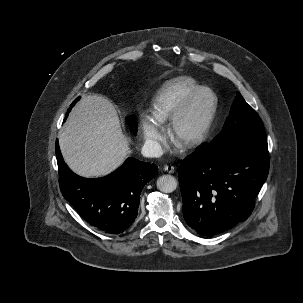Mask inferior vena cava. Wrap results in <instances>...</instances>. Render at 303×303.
<instances>
[{
    "instance_id": "obj_1",
    "label": "inferior vena cava",
    "mask_w": 303,
    "mask_h": 303,
    "mask_svg": "<svg viewBox=\"0 0 303 303\" xmlns=\"http://www.w3.org/2000/svg\"><path fill=\"white\" fill-rule=\"evenodd\" d=\"M143 156L145 157H160L163 154V149L161 145L154 140H146L142 150Z\"/></svg>"
}]
</instances>
